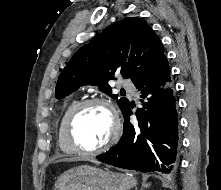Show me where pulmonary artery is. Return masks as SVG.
<instances>
[{
    "instance_id": "obj_1",
    "label": "pulmonary artery",
    "mask_w": 221,
    "mask_h": 190,
    "mask_svg": "<svg viewBox=\"0 0 221 190\" xmlns=\"http://www.w3.org/2000/svg\"><path fill=\"white\" fill-rule=\"evenodd\" d=\"M120 85L124 88H131L132 87V84L128 79H122L120 81Z\"/></svg>"
}]
</instances>
